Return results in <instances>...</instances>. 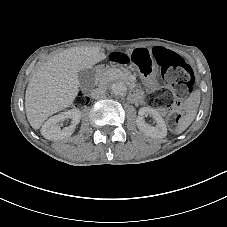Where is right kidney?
I'll use <instances>...</instances> for the list:
<instances>
[{
	"instance_id": "right-kidney-1",
	"label": "right kidney",
	"mask_w": 227,
	"mask_h": 227,
	"mask_svg": "<svg viewBox=\"0 0 227 227\" xmlns=\"http://www.w3.org/2000/svg\"><path fill=\"white\" fill-rule=\"evenodd\" d=\"M81 112L77 108L64 111L49 118L41 127V134L48 140H58L70 136L80 122ZM71 119V125L60 129V123Z\"/></svg>"
}]
</instances>
